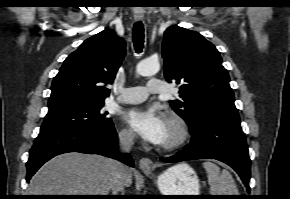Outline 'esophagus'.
Returning a JSON list of instances; mask_svg holds the SVG:
<instances>
[{
  "mask_svg": "<svg viewBox=\"0 0 290 199\" xmlns=\"http://www.w3.org/2000/svg\"><path fill=\"white\" fill-rule=\"evenodd\" d=\"M134 19L136 21L142 20L143 14L135 13ZM139 167L144 172H150L153 169V162L151 159L144 157L139 161Z\"/></svg>",
  "mask_w": 290,
  "mask_h": 199,
  "instance_id": "esophagus-1",
  "label": "esophagus"
}]
</instances>
